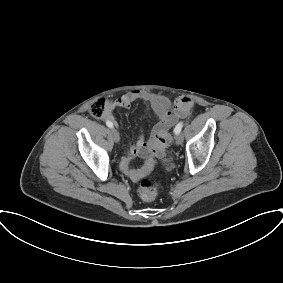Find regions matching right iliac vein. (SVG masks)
<instances>
[{"label":"right iliac vein","instance_id":"1","mask_svg":"<svg viewBox=\"0 0 283 283\" xmlns=\"http://www.w3.org/2000/svg\"><path fill=\"white\" fill-rule=\"evenodd\" d=\"M111 134H112L113 140H114L116 143L119 142L120 136H119L118 131L113 128V129L111 130Z\"/></svg>","mask_w":283,"mask_h":283}]
</instances>
